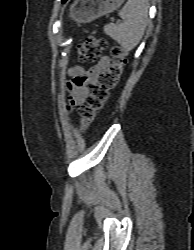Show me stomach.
<instances>
[{
  "label": "stomach",
  "mask_w": 194,
  "mask_h": 250,
  "mask_svg": "<svg viewBox=\"0 0 194 250\" xmlns=\"http://www.w3.org/2000/svg\"><path fill=\"white\" fill-rule=\"evenodd\" d=\"M124 0H76L69 16L78 23H87L117 9Z\"/></svg>",
  "instance_id": "1"
}]
</instances>
